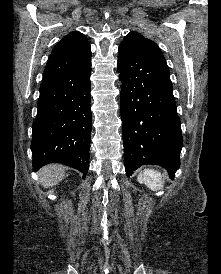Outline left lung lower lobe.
<instances>
[{
  "instance_id": "1",
  "label": "left lung lower lobe",
  "mask_w": 221,
  "mask_h": 274,
  "mask_svg": "<svg viewBox=\"0 0 221 274\" xmlns=\"http://www.w3.org/2000/svg\"><path fill=\"white\" fill-rule=\"evenodd\" d=\"M117 69L126 175L156 164L174 178L183 138L168 66L119 45Z\"/></svg>"
}]
</instances>
